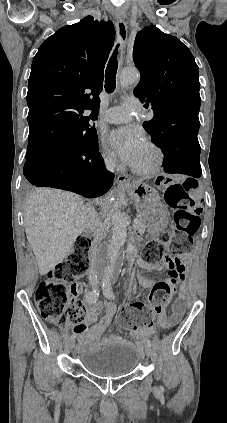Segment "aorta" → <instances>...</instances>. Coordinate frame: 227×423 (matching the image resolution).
Wrapping results in <instances>:
<instances>
[{
	"label": "aorta",
	"mask_w": 227,
	"mask_h": 423,
	"mask_svg": "<svg viewBox=\"0 0 227 423\" xmlns=\"http://www.w3.org/2000/svg\"><path fill=\"white\" fill-rule=\"evenodd\" d=\"M140 79L136 69H125L121 72L122 86L135 84ZM112 235L109 242L97 250L94 267L103 285H110L121 272L123 265V246L127 238L126 221L117 209L111 210Z\"/></svg>",
	"instance_id": "obj_1"
}]
</instances>
